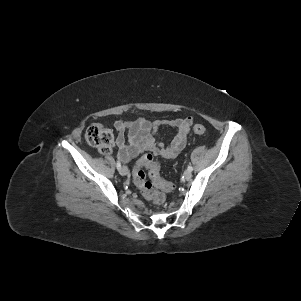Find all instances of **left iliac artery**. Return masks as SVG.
Masks as SVG:
<instances>
[{
    "label": "left iliac artery",
    "mask_w": 301,
    "mask_h": 301,
    "mask_svg": "<svg viewBox=\"0 0 301 301\" xmlns=\"http://www.w3.org/2000/svg\"><path fill=\"white\" fill-rule=\"evenodd\" d=\"M189 171H193V167L192 166H188L187 168Z\"/></svg>",
    "instance_id": "left-iliac-artery-1"
}]
</instances>
